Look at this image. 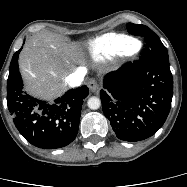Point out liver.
<instances>
[{
	"label": "liver",
	"mask_w": 187,
	"mask_h": 187,
	"mask_svg": "<svg viewBox=\"0 0 187 187\" xmlns=\"http://www.w3.org/2000/svg\"><path fill=\"white\" fill-rule=\"evenodd\" d=\"M86 59L78 43H67L48 32L31 36L19 55V66L27 92L52 101L67 89V76Z\"/></svg>",
	"instance_id": "6515ba94"
}]
</instances>
